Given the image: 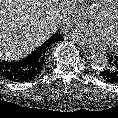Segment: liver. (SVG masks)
Returning <instances> with one entry per match:
<instances>
[{
  "label": "liver",
  "mask_w": 118,
  "mask_h": 118,
  "mask_svg": "<svg viewBox=\"0 0 118 118\" xmlns=\"http://www.w3.org/2000/svg\"><path fill=\"white\" fill-rule=\"evenodd\" d=\"M58 0H0V57L18 60L57 30Z\"/></svg>",
  "instance_id": "obj_1"
}]
</instances>
